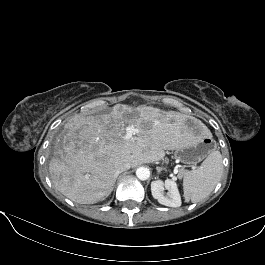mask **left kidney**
<instances>
[{"instance_id": "5707ae66", "label": "left kidney", "mask_w": 265, "mask_h": 265, "mask_svg": "<svg viewBox=\"0 0 265 265\" xmlns=\"http://www.w3.org/2000/svg\"><path fill=\"white\" fill-rule=\"evenodd\" d=\"M164 187L168 190L167 196L163 194ZM152 196L158 200L162 205L168 207H180L181 197L178 191L177 184L174 180L167 179L165 182L162 180H155L151 183Z\"/></svg>"}]
</instances>
